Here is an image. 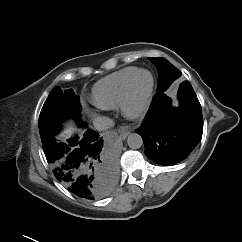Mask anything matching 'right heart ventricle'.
I'll return each instance as SVG.
<instances>
[{"label":"right heart ventricle","mask_w":242,"mask_h":242,"mask_svg":"<svg viewBox=\"0 0 242 242\" xmlns=\"http://www.w3.org/2000/svg\"><path fill=\"white\" fill-rule=\"evenodd\" d=\"M137 70L126 67L100 79L92 88V102L101 109L118 107L128 81Z\"/></svg>","instance_id":"obj_1"}]
</instances>
